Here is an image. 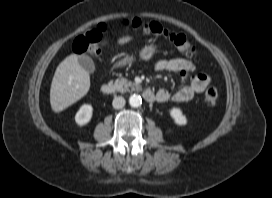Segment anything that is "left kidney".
I'll return each mask as SVG.
<instances>
[{
    "instance_id": "obj_1",
    "label": "left kidney",
    "mask_w": 272,
    "mask_h": 198,
    "mask_svg": "<svg viewBox=\"0 0 272 198\" xmlns=\"http://www.w3.org/2000/svg\"><path fill=\"white\" fill-rule=\"evenodd\" d=\"M170 115L171 117L173 118L174 122L177 124V125H186L187 124V118L185 115H183L182 111L180 108H172L170 110Z\"/></svg>"
}]
</instances>
